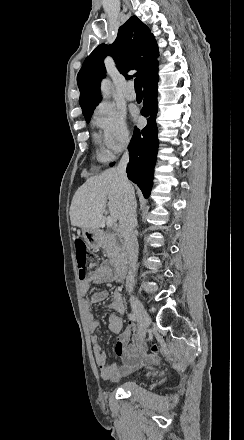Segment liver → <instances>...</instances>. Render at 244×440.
Returning <instances> with one entry per match:
<instances>
[{
    "mask_svg": "<svg viewBox=\"0 0 244 440\" xmlns=\"http://www.w3.org/2000/svg\"><path fill=\"white\" fill-rule=\"evenodd\" d=\"M123 192L116 168L105 170L100 176L88 178L73 196L69 212L71 226L98 230L103 224V214L107 206L111 218L119 220Z\"/></svg>",
    "mask_w": 244,
    "mask_h": 440,
    "instance_id": "obj_1",
    "label": "liver"
}]
</instances>
